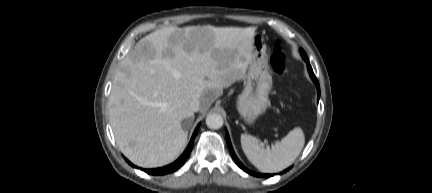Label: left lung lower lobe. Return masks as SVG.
<instances>
[{
  "label": "left lung lower lobe",
  "mask_w": 432,
  "mask_h": 193,
  "mask_svg": "<svg viewBox=\"0 0 432 193\" xmlns=\"http://www.w3.org/2000/svg\"><path fill=\"white\" fill-rule=\"evenodd\" d=\"M301 56H302V58L304 59V61L307 63V68H308V71H309L310 77H311V79L313 80V82L315 83V85H316V87H317V94H318V100H319V97H320V86H319L318 80H317L316 76H315L314 73H313V70H312V67H311V65H310V63H309V60H308L307 55L303 54V55H301ZM226 140H227V144H228L229 150H230V152H231V155L233 156L235 162L237 163V165H238L241 169H243L245 172H247V173H249V174H251V175H253V176L265 177V178L270 177L269 174H259V173H254V172H252V171L246 169V167H245V166H244V165L239 161V159H238L237 156L235 155L227 131H226ZM289 169H290V168L286 169L284 172L288 171Z\"/></svg>",
  "instance_id": "obj_1"
}]
</instances>
